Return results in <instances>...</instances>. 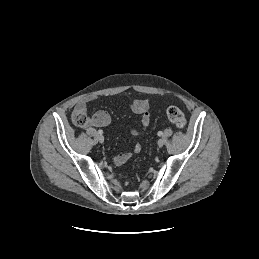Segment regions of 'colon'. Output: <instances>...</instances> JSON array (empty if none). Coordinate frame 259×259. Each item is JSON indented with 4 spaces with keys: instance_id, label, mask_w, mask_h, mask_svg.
<instances>
[{
    "instance_id": "colon-1",
    "label": "colon",
    "mask_w": 259,
    "mask_h": 259,
    "mask_svg": "<svg viewBox=\"0 0 259 259\" xmlns=\"http://www.w3.org/2000/svg\"><path fill=\"white\" fill-rule=\"evenodd\" d=\"M166 118L178 128H183L186 125L184 113L176 106H170L165 110ZM74 122L78 126H85L88 123V117L84 113H75L73 116Z\"/></svg>"
}]
</instances>
